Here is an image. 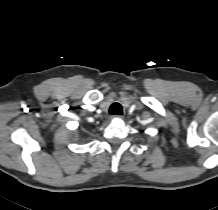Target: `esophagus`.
Instances as JSON below:
<instances>
[{"label":"esophagus","instance_id":"obj_1","mask_svg":"<svg viewBox=\"0 0 218 210\" xmlns=\"http://www.w3.org/2000/svg\"><path fill=\"white\" fill-rule=\"evenodd\" d=\"M111 118H112V119H121L122 116H121V115H113Z\"/></svg>","mask_w":218,"mask_h":210}]
</instances>
